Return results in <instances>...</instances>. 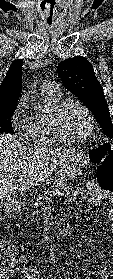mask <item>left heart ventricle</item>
<instances>
[{"instance_id":"b2bd125f","label":"left heart ventricle","mask_w":113,"mask_h":279,"mask_svg":"<svg viewBox=\"0 0 113 279\" xmlns=\"http://www.w3.org/2000/svg\"><path fill=\"white\" fill-rule=\"evenodd\" d=\"M58 124L66 136L81 137L88 130V120L82 109L76 104L67 105L62 111Z\"/></svg>"}]
</instances>
